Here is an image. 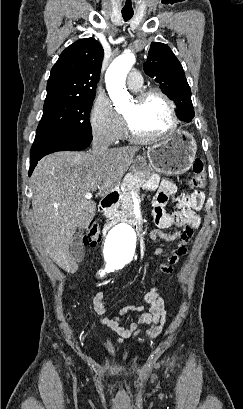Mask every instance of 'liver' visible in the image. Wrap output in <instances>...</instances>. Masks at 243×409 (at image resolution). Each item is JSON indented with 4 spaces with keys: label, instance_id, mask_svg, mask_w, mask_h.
I'll list each match as a JSON object with an SVG mask.
<instances>
[{
    "label": "liver",
    "instance_id": "6515ba94",
    "mask_svg": "<svg viewBox=\"0 0 243 409\" xmlns=\"http://www.w3.org/2000/svg\"><path fill=\"white\" fill-rule=\"evenodd\" d=\"M139 148L91 152H56L42 158L30 180L32 209L41 242L53 261L68 273L78 265L70 247L77 228L86 229L95 216L88 192L105 195L116 187L133 163Z\"/></svg>",
    "mask_w": 243,
    "mask_h": 409
}]
</instances>
